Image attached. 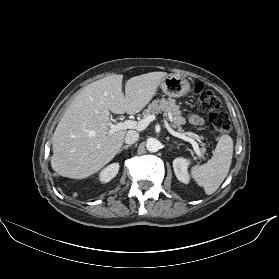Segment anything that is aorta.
<instances>
[{"mask_svg": "<svg viewBox=\"0 0 279 279\" xmlns=\"http://www.w3.org/2000/svg\"><path fill=\"white\" fill-rule=\"evenodd\" d=\"M146 148L150 152H157L161 148V142L155 138H149L146 143Z\"/></svg>", "mask_w": 279, "mask_h": 279, "instance_id": "762f6f07", "label": "aorta"}]
</instances>
